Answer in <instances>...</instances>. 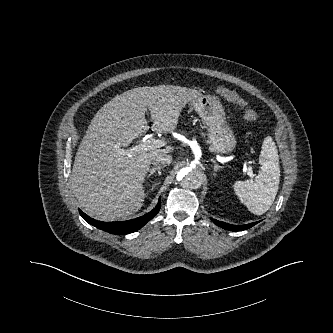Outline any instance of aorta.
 <instances>
[{
	"label": "aorta",
	"instance_id": "aorta-1",
	"mask_svg": "<svg viewBox=\"0 0 333 333\" xmlns=\"http://www.w3.org/2000/svg\"><path fill=\"white\" fill-rule=\"evenodd\" d=\"M177 180L186 189H197L202 184V175L197 169L184 167L178 172Z\"/></svg>",
	"mask_w": 333,
	"mask_h": 333
}]
</instances>
